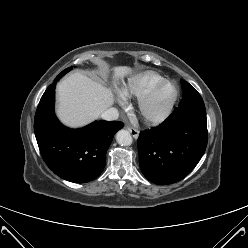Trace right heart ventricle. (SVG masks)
Segmentation results:
<instances>
[{
  "instance_id": "e07e8e85",
  "label": "right heart ventricle",
  "mask_w": 248,
  "mask_h": 248,
  "mask_svg": "<svg viewBox=\"0 0 248 248\" xmlns=\"http://www.w3.org/2000/svg\"><path fill=\"white\" fill-rule=\"evenodd\" d=\"M165 78L159 73L148 71L131 77L122 89V94L127 97L140 98L153 86L162 82Z\"/></svg>"
}]
</instances>
